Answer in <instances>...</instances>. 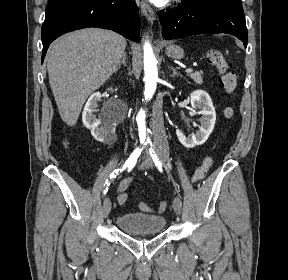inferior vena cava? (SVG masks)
<instances>
[{"instance_id":"1","label":"inferior vena cava","mask_w":288,"mask_h":280,"mask_svg":"<svg viewBox=\"0 0 288 280\" xmlns=\"http://www.w3.org/2000/svg\"><path fill=\"white\" fill-rule=\"evenodd\" d=\"M167 92H157L155 96V101L158 104L162 103V97H167ZM151 109V137L154 139V143H157L158 151L155 152V157L159 159H166L168 154V149L170 147V142H167V134L165 132L164 118L162 113V105H152Z\"/></svg>"}]
</instances>
